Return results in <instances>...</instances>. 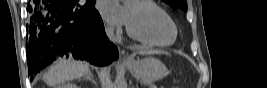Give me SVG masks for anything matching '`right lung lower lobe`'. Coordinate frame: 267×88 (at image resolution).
<instances>
[{"label":"right lung lower lobe","instance_id":"right-lung-lower-lobe-1","mask_svg":"<svg viewBox=\"0 0 267 88\" xmlns=\"http://www.w3.org/2000/svg\"><path fill=\"white\" fill-rule=\"evenodd\" d=\"M94 5L75 0H33L27 25L29 75L34 76L58 57L70 56L104 66L118 58Z\"/></svg>","mask_w":267,"mask_h":88}]
</instances>
